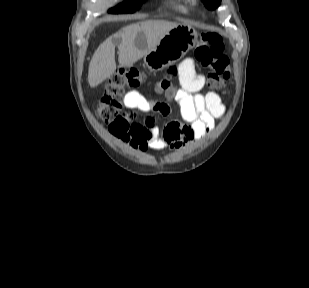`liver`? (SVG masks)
Segmentation results:
<instances>
[{"mask_svg": "<svg viewBox=\"0 0 309 288\" xmlns=\"http://www.w3.org/2000/svg\"><path fill=\"white\" fill-rule=\"evenodd\" d=\"M178 24L164 20H147L130 24L107 38L95 51L88 69V83L96 87L116 70L115 46H118V62L127 67L154 49L158 41ZM143 35L146 46L140 48L135 39Z\"/></svg>", "mask_w": 309, "mask_h": 288, "instance_id": "6515ba94", "label": "liver"}]
</instances>
